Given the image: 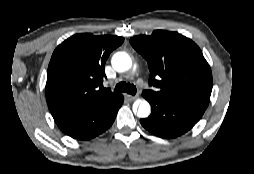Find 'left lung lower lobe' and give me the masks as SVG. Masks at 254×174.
<instances>
[{"mask_svg": "<svg viewBox=\"0 0 254 174\" xmlns=\"http://www.w3.org/2000/svg\"><path fill=\"white\" fill-rule=\"evenodd\" d=\"M152 107L151 115L140 123L152 134L162 138H176L189 131L202 117L196 110L171 105L161 99L142 93Z\"/></svg>", "mask_w": 254, "mask_h": 174, "instance_id": "0a47b994", "label": "left lung lower lobe"}]
</instances>
